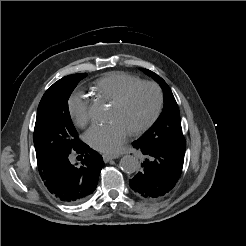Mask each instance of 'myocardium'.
Listing matches in <instances>:
<instances>
[{
  "mask_svg": "<svg viewBox=\"0 0 246 246\" xmlns=\"http://www.w3.org/2000/svg\"><path fill=\"white\" fill-rule=\"evenodd\" d=\"M143 86H149L152 87L157 94V105L155 108V111L153 113V115L151 116V118L142 126H140L137 129H134L132 131H130V133L134 136H138L141 135L143 133H145L147 130H149L154 124L155 122L158 120L162 109H163V104H164V95H163V91L161 89V87L152 81H140L138 83H135L131 86H129L128 88H126L114 101H113V105L115 106H122L124 105L127 100L129 99V97L132 95V93L134 91H136L138 88L143 87Z\"/></svg>",
  "mask_w": 246,
  "mask_h": 246,
  "instance_id": "myocardium-1",
  "label": "myocardium"
}]
</instances>
